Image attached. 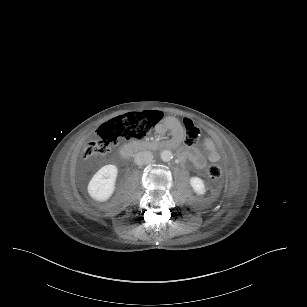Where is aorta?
I'll return each mask as SVG.
<instances>
[{
  "label": "aorta",
  "instance_id": "obj_1",
  "mask_svg": "<svg viewBox=\"0 0 307 307\" xmlns=\"http://www.w3.org/2000/svg\"><path fill=\"white\" fill-rule=\"evenodd\" d=\"M160 157L163 162H169L173 159V153L170 150H164L161 152Z\"/></svg>",
  "mask_w": 307,
  "mask_h": 307
}]
</instances>
